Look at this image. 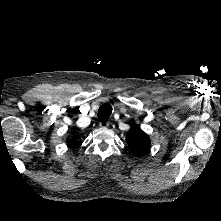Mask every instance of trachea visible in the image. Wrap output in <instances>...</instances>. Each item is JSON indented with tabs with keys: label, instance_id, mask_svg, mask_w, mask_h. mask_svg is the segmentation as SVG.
<instances>
[{
	"label": "trachea",
	"instance_id": "obj_1",
	"mask_svg": "<svg viewBox=\"0 0 221 221\" xmlns=\"http://www.w3.org/2000/svg\"><path fill=\"white\" fill-rule=\"evenodd\" d=\"M111 113H112V106L108 103H104L100 106L97 116L101 120L106 121L109 119Z\"/></svg>",
	"mask_w": 221,
	"mask_h": 221
}]
</instances>
